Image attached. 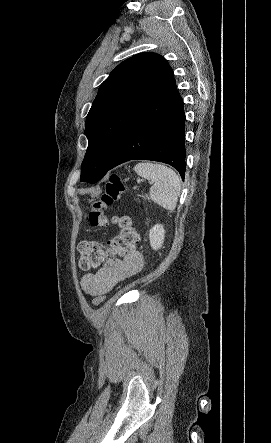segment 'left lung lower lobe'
Wrapping results in <instances>:
<instances>
[{
	"mask_svg": "<svg viewBox=\"0 0 271 443\" xmlns=\"http://www.w3.org/2000/svg\"><path fill=\"white\" fill-rule=\"evenodd\" d=\"M185 114L173 71L159 75L125 130L110 170L129 160L167 163L185 175Z\"/></svg>",
	"mask_w": 271,
	"mask_h": 443,
	"instance_id": "0a47b994",
	"label": "left lung lower lobe"
}]
</instances>
